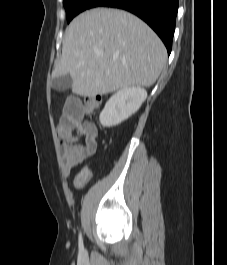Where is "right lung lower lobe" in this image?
<instances>
[{"mask_svg": "<svg viewBox=\"0 0 227 265\" xmlns=\"http://www.w3.org/2000/svg\"><path fill=\"white\" fill-rule=\"evenodd\" d=\"M98 6L121 8L137 15L158 34L170 54L178 0H94L89 8Z\"/></svg>", "mask_w": 227, "mask_h": 265, "instance_id": "obj_1", "label": "right lung lower lobe"}]
</instances>
